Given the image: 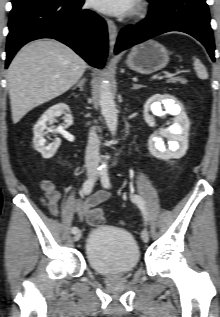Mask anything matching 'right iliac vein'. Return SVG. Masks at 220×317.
<instances>
[{
	"label": "right iliac vein",
	"mask_w": 220,
	"mask_h": 317,
	"mask_svg": "<svg viewBox=\"0 0 220 317\" xmlns=\"http://www.w3.org/2000/svg\"><path fill=\"white\" fill-rule=\"evenodd\" d=\"M81 236H82V232L80 231V230H78L76 233H75V235H74V237H73V240L76 242V241H79L80 240V238H81Z\"/></svg>",
	"instance_id": "right-iliac-vein-1"
}]
</instances>
